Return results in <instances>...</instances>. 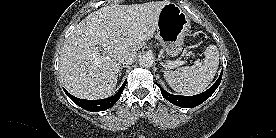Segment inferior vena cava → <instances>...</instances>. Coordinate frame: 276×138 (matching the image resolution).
<instances>
[{
	"label": "inferior vena cava",
	"mask_w": 276,
	"mask_h": 138,
	"mask_svg": "<svg viewBox=\"0 0 276 138\" xmlns=\"http://www.w3.org/2000/svg\"><path fill=\"white\" fill-rule=\"evenodd\" d=\"M136 57H137V53L136 52L127 51V52H124L120 56V62L122 64L130 65V64H132L136 60Z\"/></svg>",
	"instance_id": "602c4592"
}]
</instances>
